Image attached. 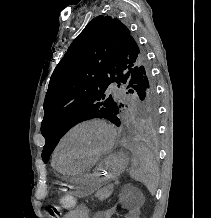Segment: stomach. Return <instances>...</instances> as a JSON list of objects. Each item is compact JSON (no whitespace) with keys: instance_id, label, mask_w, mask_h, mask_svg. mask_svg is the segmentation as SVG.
Instances as JSON below:
<instances>
[{"instance_id":"0dacf381","label":"stomach","mask_w":211,"mask_h":218,"mask_svg":"<svg viewBox=\"0 0 211 218\" xmlns=\"http://www.w3.org/2000/svg\"><path fill=\"white\" fill-rule=\"evenodd\" d=\"M129 165V157L124 152L109 155L92 174H81L70 179L73 194L86 197L97 190L103 183L118 178Z\"/></svg>"}]
</instances>
